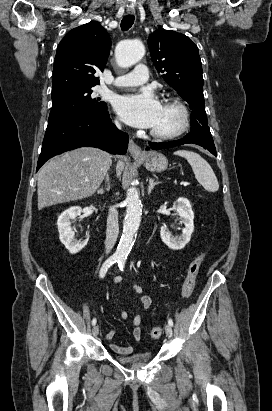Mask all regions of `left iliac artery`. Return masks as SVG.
<instances>
[{"mask_svg": "<svg viewBox=\"0 0 272 411\" xmlns=\"http://www.w3.org/2000/svg\"><path fill=\"white\" fill-rule=\"evenodd\" d=\"M125 261H126V258H120V259L118 260V266H119V268H120L121 271H123V269H124ZM168 324H169L170 326H173V325H174L173 320H172L171 318L168 319Z\"/></svg>", "mask_w": 272, "mask_h": 411, "instance_id": "obj_1", "label": "left iliac artery"}]
</instances>
